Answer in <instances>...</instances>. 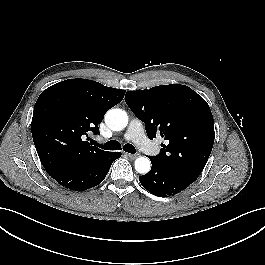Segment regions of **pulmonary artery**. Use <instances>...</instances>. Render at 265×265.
Segmentation results:
<instances>
[{"label": "pulmonary artery", "instance_id": "pulmonary-artery-1", "mask_svg": "<svg viewBox=\"0 0 265 265\" xmlns=\"http://www.w3.org/2000/svg\"><path fill=\"white\" fill-rule=\"evenodd\" d=\"M125 137L135 142L140 148H145L149 144L145 136L144 126L137 119L130 122Z\"/></svg>", "mask_w": 265, "mask_h": 265}]
</instances>
